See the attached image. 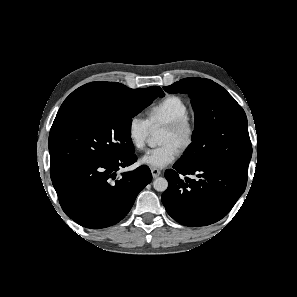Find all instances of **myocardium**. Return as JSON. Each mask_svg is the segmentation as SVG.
Here are the masks:
<instances>
[{
	"label": "myocardium",
	"instance_id": "f54148a6",
	"mask_svg": "<svg viewBox=\"0 0 297 297\" xmlns=\"http://www.w3.org/2000/svg\"><path fill=\"white\" fill-rule=\"evenodd\" d=\"M164 129L181 136V142L179 145V149L181 151L187 150L194 141L195 125L189 115H185L164 125Z\"/></svg>",
	"mask_w": 297,
	"mask_h": 297
}]
</instances>
